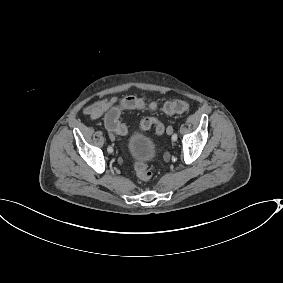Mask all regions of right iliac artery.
<instances>
[{"label": "right iliac artery", "mask_w": 283, "mask_h": 283, "mask_svg": "<svg viewBox=\"0 0 283 283\" xmlns=\"http://www.w3.org/2000/svg\"><path fill=\"white\" fill-rule=\"evenodd\" d=\"M107 151H108L109 153H112V152H113L112 146H108Z\"/></svg>", "instance_id": "right-iliac-artery-1"}]
</instances>
